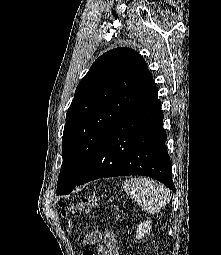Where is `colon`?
<instances>
[{
	"label": "colon",
	"instance_id": "5ec220e1",
	"mask_svg": "<svg viewBox=\"0 0 221 255\" xmlns=\"http://www.w3.org/2000/svg\"><path fill=\"white\" fill-rule=\"evenodd\" d=\"M100 202L99 197L97 196H87L82 197L72 204H69L68 206H63V204H60L62 209V215L66 216L67 214H71L74 216H79L83 213H88L92 209H94L96 206H98ZM82 255H95L93 250L87 248L84 249L82 252Z\"/></svg>",
	"mask_w": 221,
	"mask_h": 255
}]
</instances>
